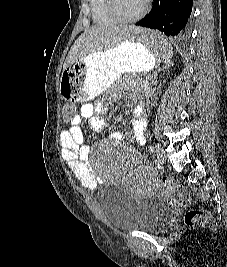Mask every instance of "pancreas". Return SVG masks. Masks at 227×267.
Segmentation results:
<instances>
[{
    "label": "pancreas",
    "instance_id": "cf45deb5",
    "mask_svg": "<svg viewBox=\"0 0 227 267\" xmlns=\"http://www.w3.org/2000/svg\"><path fill=\"white\" fill-rule=\"evenodd\" d=\"M145 82H146L145 80H142L137 76L125 75L117 82V84L118 85L121 84L125 86L126 88L132 89L135 91H143L145 90V85H146Z\"/></svg>",
    "mask_w": 227,
    "mask_h": 267
}]
</instances>
